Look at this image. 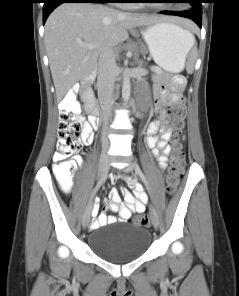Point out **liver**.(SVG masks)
<instances>
[{"mask_svg": "<svg viewBox=\"0 0 239 296\" xmlns=\"http://www.w3.org/2000/svg\"><path fill=\"white\" fill-rule=\"evenodd\" d=\"M165 20L168 19L125 13L94 3H64L57 7L46 21L44 35L57 99L61 100L78 81L88 78L95 71L98 58L123 43L129 37V29ZM80 43L97 46L89 50Z\"/></svg>", "mask_w": 239, "mask_h": 296, "instance_id": "1", "label": "liver"}]
</instances>
